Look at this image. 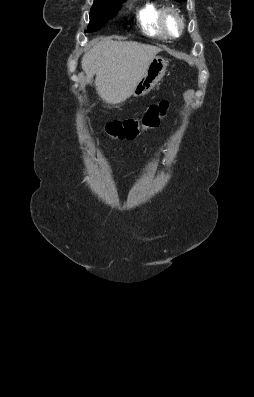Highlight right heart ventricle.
Masks as SVG:
<instances>
[{
	"instance_id": "obj_1",
	"label": "right heart ventricle",
	"mask_w": 254,
	"mask_h": 397,
	"mask_svg": "<svg viewBox=\"0 0 254 397\" xmlns=\"http://www.w3.org/2000/svg\"><path fill=\"white\" fill-rule=\"evenodd\" d=\"M162 11L161 5L155 1H146L138 10V20L144 30L150 36L165 38L160 25V13Z\"/></svg>"
}]
</instances>
